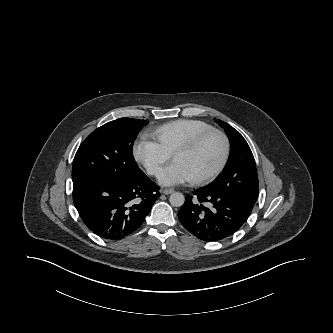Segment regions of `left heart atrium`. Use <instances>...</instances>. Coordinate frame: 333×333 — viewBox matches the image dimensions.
I'll list each match as a JSON object with an SVG mask.
<instances>
[{
    "label": "left heart atrium",
    "mask_w": 333,
    "mask_h": 333,
    "mask_svg": "<svg viewBox=\"0 0 333 333\" xmlns=\"http://www.w3.org/2000/svg\"><path fill=\"white\" fill-rule=\"evenodd\" d=\"M192 180L193 177L188 170L182 164L175 161L164 169L159 178V182L163 185H176Z\"/></svg>",
    "instance_id": "39dd6f15"
}]
</instances>
